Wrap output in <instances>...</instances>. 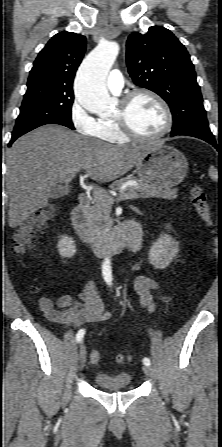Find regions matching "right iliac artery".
Listing matches in <instances>:
<instances>
[{"label":"right iliac artery","instance_id":"right-iliac-artery-1","mask_svg":"<svg viewBox=\"0 0 222 447\" xmlns=\"http://www.w3.org/2000/svg\"><path fill=\"white\" fill-rule=\"evenodd\" d=\"M85 329H80L76 335V340L78 343H80L84 337Z\"/></svg>","mask_w":222,"mask_h":447}]
</instances>
